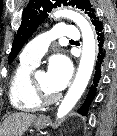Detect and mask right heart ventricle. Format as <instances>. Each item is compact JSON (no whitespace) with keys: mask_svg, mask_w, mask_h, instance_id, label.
<instances>
[{"mask_svg":"<svg viewBox=\"0 0 117 136\" xmlns=\"http://www.w3.org/2000/svg\"><path fill=\"white\" fill-rule=\"evenodd\" d=\"M36 64L21 60L16 67L10 82L9 99L11 105L23 112L36 111L40 104L34 97L31 73Z\"/></svg>","mask_w":117,"mask_h":136,"instance_id":"e07e8e85","label":"right heart ventricle"}]
</instances>
